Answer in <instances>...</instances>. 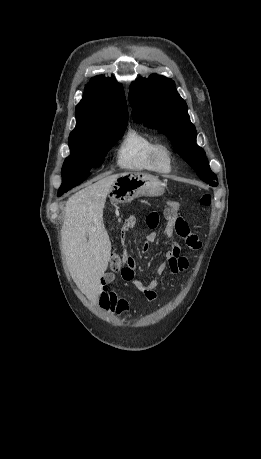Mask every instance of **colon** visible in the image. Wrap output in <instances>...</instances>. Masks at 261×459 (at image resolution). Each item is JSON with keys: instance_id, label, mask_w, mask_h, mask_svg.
Returning a JSON list of instances; mask_svg holds the SVG:
<instances>
[{"instance_id": "obj_1", "label": "colon", "mask_w": 261, "mask_h": 459, "mask_svg": "<svg viewBox=\"0 0 261 459\" xmlns=\"http://www.w3.org/2000/svg\"><path fill=\"white\" fill-rule=\"evenodd\" d=\"M211 204V196L209 194H204L200 198V205L202 207H208ZM179 202L175 200H169L167 202V209H166V218L168 221L174 222L177 229L179 231L183 230L185 226V221L179 216ZM145 223L148 228L155 229L159 226L160 217L158 213L151 212L145 218ZM123 255L118 253L117 255H113L110 260V268L114 272L121 271L123 269Z\"/></svg>"}]
</instances>
